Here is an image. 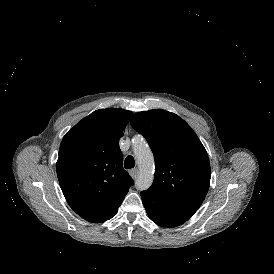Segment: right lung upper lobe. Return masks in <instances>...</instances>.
<instances>
[{
	"label": "right lung upper lobe",
	"mask_w": 274,
	"mask_h": 274,
	"mask_svg": "<svg viewBox=\"0 0 274 274\" xmlns=\"http://www.w3.org/2000/svg\"><path fill=\"white\" fill-rule=\"evenodd\" d=\"M133 113L99 109L63 138L56 164L62 192L70 207L89 222L111 219L133 179L123 168L119 139Z\"/></svg>",
	"instance_id": "obj_1"
}]
</instances>
